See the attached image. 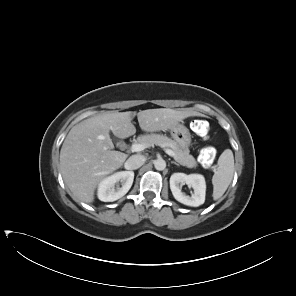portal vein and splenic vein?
<instances>
[{"mask_svg":"<svg viewBox=\"0 0 296 296\" xmlns=\"http://www.w3.org/2000/svg\"><path fill=\"white\" fill-rule=\"evenodd\" d=\"M145 148H147V146H146L145 144H140V143H138V144H133V145L131 146V150H132L133 152H140V151H143ZM165 152H166L169 156L175 158V153H174L171 149H165Z\"/></svg>","mask_w":296,"mask_h":296,"instance_id":"obj_1","label":"portal vein and splenic vein"}]
</instances>
